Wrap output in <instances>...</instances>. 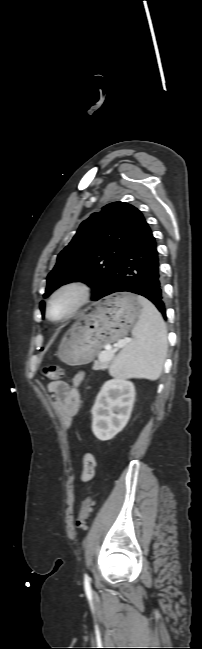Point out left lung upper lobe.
Masks as SVG:
<instances>
[{
  "instance_id": "1",
  "label": "left lung upper lobe",
  "mask_w": 202,
  "mask_h": 649,
  "mask_svg": "<svg viewBox=\"0 0 202 649\" xmlns=\"http://www.w3.org/2000/svg\"><path fill=\"white\" fill-rule=\"evenodd\" d=\"M142 213L125 202H113L83 221L68 246L58 255L47 277L45 298L61 285L82 281L95 285L96 300L108 283L121 253L143 222ZM44 303L40 309L44 313Z\"/></svg>"
}]
</instances>
